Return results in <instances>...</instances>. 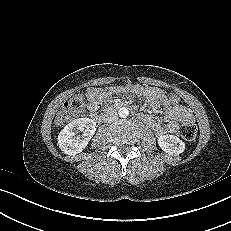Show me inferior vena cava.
Returning <instances> with one entry per match:
<instances>
[{"instance_id": "obj_1", "label": "inferior vena cava", "mask_w": 231, "mask_h": 231, "mask_svg": "<svg viewBox=\"0 0 231 231\" xmlns=\"http://www.w3.org/2000/svg\"><path fill=\"white\" fill-rule=\"evenodd\" d=\"M102 119L106 123H111V122H114L118 119V114H117L116 110L109 109L102 115Z\"/></svg>"}]
</instances>
